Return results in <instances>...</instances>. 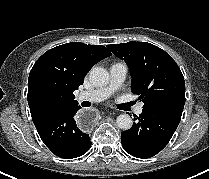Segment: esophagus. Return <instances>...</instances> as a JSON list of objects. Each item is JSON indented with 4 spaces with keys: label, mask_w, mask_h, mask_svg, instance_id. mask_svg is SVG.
Returning <instances> with one entry per match:
<instances>
[{
    "label": "esophagus",
    "mask_w": 209,
    "mask_h": 179,
    "mask_svg": "<svg viewBox=\"0 0 209 179\" xmlns=\"http://www.w3.org/2000/svg\"><path fill=\"white\" fill-rule=\"evenodd\" d=\"M98 117V111L94 107H85L84 109H78L74 113L73 119L80 131L87 132L94 127Z\"/></svg>",
    "instance_id": "34e87169"
}]
</instances>
